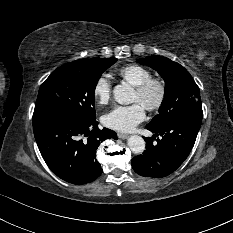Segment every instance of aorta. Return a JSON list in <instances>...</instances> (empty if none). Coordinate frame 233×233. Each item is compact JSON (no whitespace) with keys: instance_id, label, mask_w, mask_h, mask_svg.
I'll return each instance as SVG.
<instances>
[{"instance_id":"obj_1","label":"aorta","mask_w":233,"mask_h":233,"mask_svg":"<svg viewBox=\"0 0 233 233\" xmlns=\"http://www.w3.org/2000/svg\"><path fill=\"white\" fill-rule=\"evenodd\" d=\"M113 95L116 102L122 105L131 104L134 99L133 88L127 83H122L115 86ZM127 144L130 150L136 155L142 154L145 150V141L139 135L130 136L128 138Z\"/></svg>"}]
</instances>
